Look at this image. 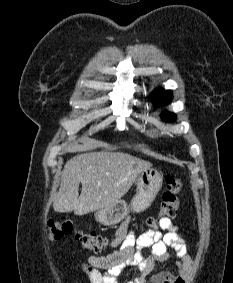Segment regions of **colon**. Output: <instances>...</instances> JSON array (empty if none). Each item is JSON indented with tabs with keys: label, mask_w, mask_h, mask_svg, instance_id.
<instances>
[{
	"label": "colon",
	"mask_w": 233,
	"mask_h": 283,
	"mask_svg": "<svg viewBox=\"0 0 233 283\" xmlns=\"http://www.w3.org/2000/svg\"><path fill=\"white\" fill-rule=\"evenodd\" d=\"M165 192L158 215L150 217L146 221L147 230H156L162 219H171L177 215L179 209V195L181 192V182L172 175L165 177ZM47 232L51 240H57L64 235H74L80 245L96 254L105 251L108 244L107 238L98 235L93 231H83L78 229L70 219H50L47 222Z\"/></svg>",
	"instance_id": "colon-1"
}]
</instances>
